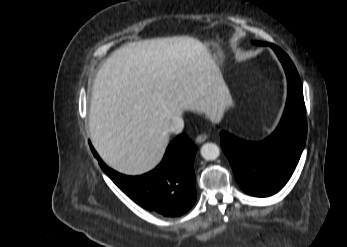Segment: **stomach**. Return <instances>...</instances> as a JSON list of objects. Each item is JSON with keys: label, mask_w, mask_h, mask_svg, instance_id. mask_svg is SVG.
Here are the masks:
<instances>
[{"label": "stomach", "mask_w": 347, "mask_h": 247, "mask_svg": "<svg viewBox=\"0 0 347 247\" xmlns=\"http://www.w3.org/2000/svg\"><path fill=\"white\" fill-rule=\"evenodd\" d=\"M206 47L211 54L212 58L217 62L218 64H221L224 60V52L216 42H208L206 43Z\"/></svg>", "instance_id": "0dacf381"}]
</instances>
